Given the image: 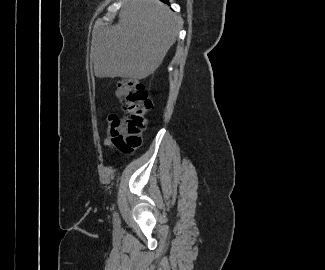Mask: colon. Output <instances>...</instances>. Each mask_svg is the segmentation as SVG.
Returning a JSON list of instances; mask_svg holds the SVG:
<instances>
[{"instance_id":"obj_1","label":"colon","mask_w":325,"mask_h":270,"mask_svg":"<svg viewBox=\"0 0 325 270\" xmlns=\"http://www.w3.org/2000/svg\"><path fill=\"white\" fill-rule=\"evenodd\" d=\"M116 94L125 115L117 121L110 136L113 144L127 154L142 143V133L147 124L146 114L152 107V102L144 85L135 79L120 80Z\"/></svg>"}]
</instances>
